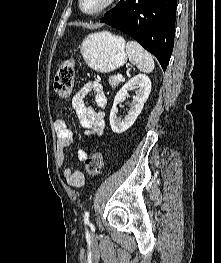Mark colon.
<instances>
[{
    "label": "colon",
    "instance_id": "colon-1",
    "mask_svg": "<svg viewBox=\"0 0 221 263\" xmlns=\"http://www.w3.org/2000/svg\"><path fill=\"white\" fill-rule=\"evenodd\" d=\"M74 64L71 59H66L59 66L54 82L55 97L57 100L67 99L73 90ZM104 165V156L101 152H95L85 159L86 172L91 178L98 176Z\"/></svg>",
    "mask_w": 221,
    "mask_h": 263
}]
</instances>
